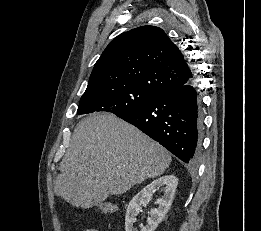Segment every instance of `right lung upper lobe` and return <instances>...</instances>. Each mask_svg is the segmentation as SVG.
<instances>
[{
  "label": "right lung upper lobe",
  "instance_id": "cb5924a9",
  "mask_svg": "<svg viewBox=\"0 0 261 231\" xmlns=\"http://www.w3.org/2000/svg\"><path fill=\"white\" fill-rule=\"evenodd\" d=\"M193 78L181 51L165 32L142 26L110 42L94 66L85 93L135 86L159 96Z\"/></svg>",
  "mask_w": 261,
  "mask_h": 231
}]
</instances>
